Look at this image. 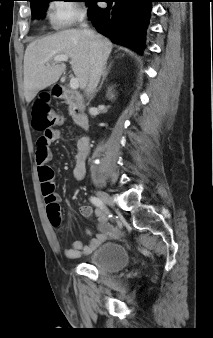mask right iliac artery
<instances>
[{
	"label": "right iliac artery",
	"instance_id": "82829eb1",
	"mask_svg": "<svg viewBox=\"0 0 213 338\" xmlns=\"http://www.w3.org/2000/svg\"><path fill=\"white\" fill-rule=\"evenodd\" d=\"M90 201H91L95 206L100 207L101 209L107 210L106 207H105L104 202H103L101 199H99L98 197L91 196V197H90ZM109 216H110V215H109Z\"/></svg>",
	"mask_w": 213,
	"mask_h": 338
}]
</instances>
